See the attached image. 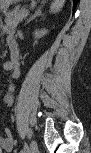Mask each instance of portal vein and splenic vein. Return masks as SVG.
<instances>
[{
    "mask_svg": "<svg viewBox=\"0 0 91 153\" xmlns=\"http://www.w3.org/2000/svg\"><path fill=\"white\" fill-rule=\"evenodd\" d=\"M26 15H27V12H25L23 16H26Z\"/></svg>",
    "mask_w": 91,
    "mask_h": 153,
    "instance_id": "portal-vein-and-splenic-vein-1",
    "label": "portal vein and splenic vein"
}]
</instances>
